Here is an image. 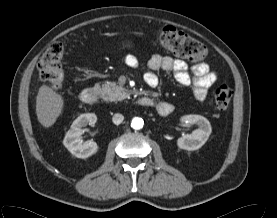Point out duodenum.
Returning a JSON list of instances; mask_svg holds the SVG:
<instances>
[{"label":"duodenum","instance_id":"1","mask_svg":"<svg viewBox=\"0 0 277 218\" xmlns=\"http://www.w3.org/2000/svg\"><path fill=\"white\" fill-rule=\"evenodd\" d=\"M80 100L87 105H93L98 101V90L95 88H85L80 93ZM139 103L144 106H153L155 102L149 97L139 98ZM157 111L162 115H168L171 113V105L165 102H159L157 104Z\"/></svg>","mask_w":277,"mask_h":218}]
</instances>
